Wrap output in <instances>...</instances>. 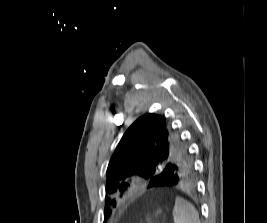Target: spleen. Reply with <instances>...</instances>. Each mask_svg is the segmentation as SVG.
<instances>
[{"instance_id": "3e777b00", "label": "spleen", "mask_w": 267, "mask_h": 223, "mask_svg": "<svg viewBox=\"0 0 267 223\" xmlns=\"http://www.w3.org/2000/svg\"><path fill=\"white\" fill-rule=\"evenodd\" d=\"M174 223H200L195 207L183 198L177 197L173 209Z\"/></svg>"}]
</instances>
